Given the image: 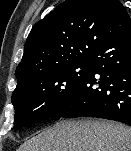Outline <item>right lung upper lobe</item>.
Wrapping results in <instances>:
<instances>
[{
    "instance_id": "cb5924a9",
    "label": "right lung upper lobe",
    "mask_w": 131,
    "mask_h": 151,
    "mask_svg": "<svg viewBox=\"0 0 131 151\" xmlns=\"http://www.w3.org/2000/svg\"><path fill=\"white\" fill-rule=\"evenodd\" d=\"M130 33L131 17L120 1L66 0L29 33L16 69L17 87L44 73L89 63L101 46Z\"/></svg>"
}]
</instances>
